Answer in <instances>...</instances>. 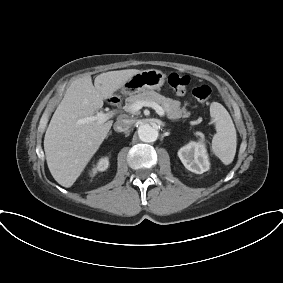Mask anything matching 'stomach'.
<instances>
[{"instance_id":"1","label":"stomach","mask_w":283,"mask_h":283,"mask_svg":"<svg viewBox=\"0 0 283 283\" xmlns=\"http://www.w3.org/2000/svg\"><path fill=\"white\" fill-rule=\"evenodd\" d=\"M166 75L157 69L143 70L135 74L122 87L123 91L135 94L144 90H158L165 82Z\"/></svg>"}]
</instances>
